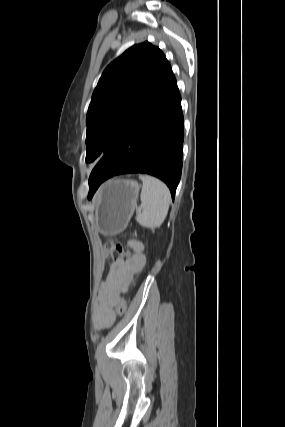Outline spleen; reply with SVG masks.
<instances>
[{"label": "spleen", "mask_w": 285, "mask_h": 427, "mask_svg": "<svg viewBox=\"0 0 285 427\" xmlns=\"http://www.w3.org/2000/svg\"><path fill=\"white\" fill-rule=\"evenodd\" d=\"M139 178L143 182L140 195L143 210L136 216V220L143 227H158L168 214L170 191L157 178L149 175H140Z\"/></svg>", "instance_id": "3e777b00"}]
</instances>
